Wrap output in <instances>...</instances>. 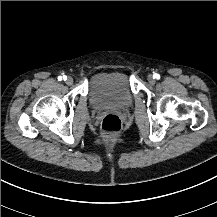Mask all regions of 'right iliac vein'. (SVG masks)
Wrapping results in <instances>:
<instances>
[{
  "mask_svg": "<svg viewBox=\"0 0 217 217\" xmlns=\"http://www.w3.org/2000/svg\"><path fill=\"white\" fill-rule=\"evenodd\" d=\"M66 84H67V85L73 84V78H72V77H68V78L66 79Z\"/></svg>",
  "mask_w": 217,
  "mask_h": 217,
  "instance_id": "obj_1",
  "label": "right iliac vein"
}]
</instances>
